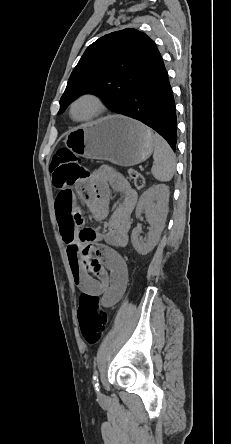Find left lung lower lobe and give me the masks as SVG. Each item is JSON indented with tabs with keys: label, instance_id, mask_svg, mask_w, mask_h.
<instances>
[{
	"label": "left lung lower lobe",
	"instance_id": "0a47b994",
	"mask_svg": "<svg viewBox=\"0 0 231 444\" xmlns=\"http://www.w3.org/2000/svg\"><path fill=\"white\" fill-rule=\"evenodd\" d=\"M118 113L151 127L175 151L177 143L175 102L160 53L143 70L124 107Z\"/></svg>",
	"mask_w": 231,
	"mask_h": 444
}]
</instances>
